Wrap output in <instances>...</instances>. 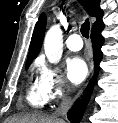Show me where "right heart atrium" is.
<instances>
[{"instance_id": "d8ad5b80", "label": "right heart atrium", "mask_w": 118, "mask_h": 123, "mask_svg": "<svg viewBox=\"0 0 118 123\" xmlns=\"http://www.w3.org/2000/svg\"><path fill=\"white\" fill-rule=\"evenodd\" d=\"M37 73V80L48 102L56 103L66 96L68 85L53 67L41 60L37 64Z\"/></svg>"}]
</instances>
